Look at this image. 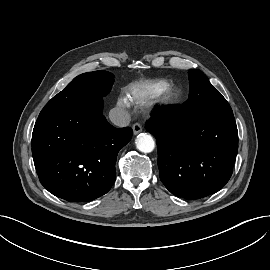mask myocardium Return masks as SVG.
Returning a JSON list of instances; mask_svg holds the SVG:
<instances>
[{
    "mask_svg": "<svg viewBox=\"0 0 270 270\" xmlns=\"http://www.w3.org/2000/svg\"><path fill=\"white\" fill-rule=\"evenodd\" d=\"M182 100L180 90L174 86H169L161 95L158 100V105L161 108H168L177 105Z\"/></svg>",
    "mask_w": 270,
    "mask_h": 270,
    "instance_id": "myocardium-1",
    "label": "myocardium"
}]
</instances>
